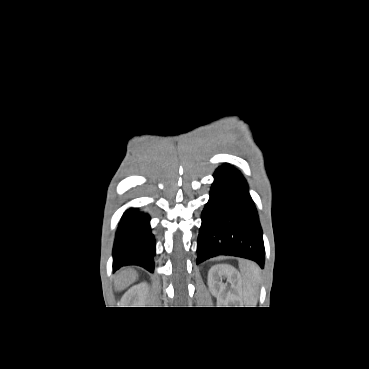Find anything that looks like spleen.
Wrapping results in <instances>:
<instances>
[{
    "label": "spleen",
    "instance_id": "obj_1",
    "mask_svg": "<svg viewBox=\"0 0 369 369\" xmlns=\"http://www.w3.org/2000/svg\"><path fill=\"white\" fill-rule=\"evenodd\" d=\"M240 271L242 274L243 298L247 307H255L258 299L260 283L259 268L253 262H241Z\"/></svg>",
    "mask_w": 369,
    "mask_h": 369
}]
</instances>
